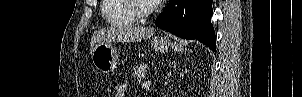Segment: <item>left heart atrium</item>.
<instances>
[{
	"mask_svg": "<svg viewBox=\"0 0 302 97\" xmlns=\"http://www.w3.org/2000/svg\"><path fill=\"white\" fill-rule=\"evenodd\" d=\"M150 4H159L162 0H147Z\"/></svg>",
	"mask_w": 302,
	"mask_h": 97,
	"instance_id": "obj_1",
	"label": "left heart atrium"
}]
</instances>
